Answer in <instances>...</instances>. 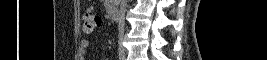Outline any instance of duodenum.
Wrapping results in <instances>:
<instances>
[{"label": "duodenum", "instance_id": "duodenum-1", "mask_svg": "<svg viewBox=\"0 0 267 60\" xmlns=\"http://www.w3.org/2000/svg\"><path fill=\"white\" fill-rule=\"evenodd\" d=\"M107 10L111 19H116L118 17L119 8L114 3H109Z\"/></svg>", "mask_w": 267, "mask_h": 60}]
</instances>
